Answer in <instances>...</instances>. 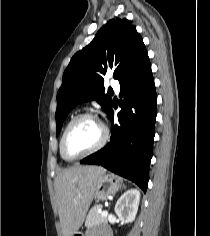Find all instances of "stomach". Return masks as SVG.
<instances>
[{
	"instance_id": "0dacf381",
	"label": "stomach",
	"mask_w": 210,
	"mask_h": 236,
	"mask_svg": "<svg viewBox=\"0 0 210 236\" xmlns=\"http://www.w3.org/2000/svg\"><path fill=\"white\" fill-rule=\"evenodd\" d=\"M121 187L120 179L110 174L101 175L97 181L93 198L96 201H103L108 196L115 194ZM74 236H82V233L77 232Z\"/></svg>"
}]
</instances>
